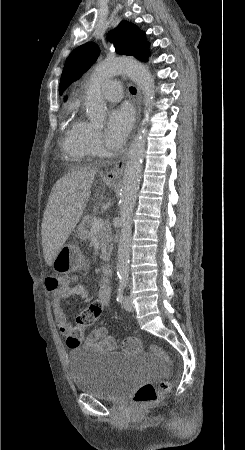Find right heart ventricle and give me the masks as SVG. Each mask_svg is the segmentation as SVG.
<instances>
[{
    "mask_svg": "<svg viewBox=\"0 0 245 450\" xmlns=\"http://www.w3.org/2000/svg\"><path fill=\"white\" fill-rule=\"evenodd\" d=\"M85 131V122L81 119H74L68 127L62 142L64 151L76 157L78 161H82L88 154L85 143Z\"/></svg>",
    "mask_w": 245,
    "mask_h": 450,
    "instance_id": "obj_1",
    "label": "right heart ventricle"
}]
</instances>
